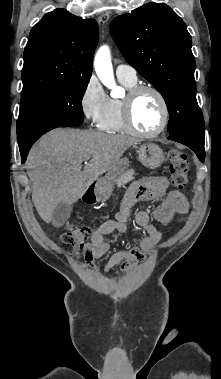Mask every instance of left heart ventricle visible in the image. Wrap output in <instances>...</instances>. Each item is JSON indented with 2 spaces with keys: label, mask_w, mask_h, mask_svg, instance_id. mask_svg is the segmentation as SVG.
Segmentation results:
<instances>
[{
  "label": "left heart ventricle",
  "mask_w": 221,
  "mask_h": 379,
  "mask_svg": "<svg viewBox=\"0 0 221 379\" xmlns=\"http://www.w3.org/2000/svg\"><path fill=\"white\" fill-rule=\"evenodd\" d=\"M162 118V111L157 97L151 92L140 94L133 105L135 126L143 132L155 131Z\"/></svg>",
  "instance_id": "b2bd125f"
}]
</instances>
